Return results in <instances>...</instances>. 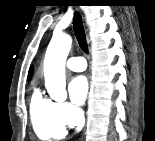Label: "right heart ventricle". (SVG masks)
<instances>
[{"label":"right heart ventricle","mask_w":155,"mask_h":141,"mask_svg":"<svg viewBox=\"0 0 155 141\" xmlns=\"http://www.w3.org/2000/svg\"><path fill=\"white\" fill-rule=\"evenodd\" d=\"M30 117L36 135L42 140L62 138L65 125L58 119L56 103L34 89L30 97Z\"/></svg>","instance_id":"right-heart-ventricle-1"}]
</instances>
